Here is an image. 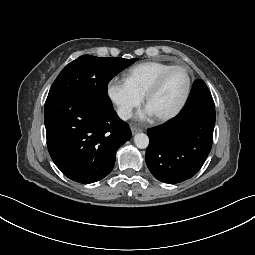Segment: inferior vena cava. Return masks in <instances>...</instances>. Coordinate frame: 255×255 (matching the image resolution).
Wrapping results in <instances>:
<instances>
[{"label":"inferior vena cava","mask_w":255,"mask_h":255,"mask_svg":"<svg viewBox=\"0 0 255 255\" xmlns=\"http://www.w3.org/2000/svg\"><path fill=\"white\" fill-rule=\"evenodd\" d=\"M117 114L122 120H127L132 117L131 111L129 109H125V108L119 109L117 111Z\"/></svg>","instance_id":"obj_1"}]
</instances>
